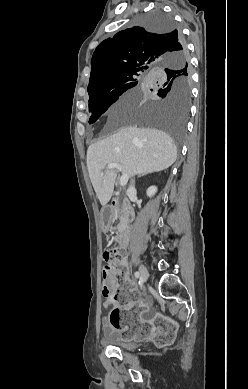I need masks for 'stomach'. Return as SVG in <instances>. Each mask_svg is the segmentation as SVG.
I'll list each match as a JSON object with an SVG mask.
<instances>
[{
    "label": "stomach",
    "instance_id": "stomach-1",
    "mask_svg": "<svg viewBox=\"0 0 248 389\" xmlns=\"http://www.w3.org/2000/svg\"><path fill=\"white\" fill-rule=\"evenodd\" d=\"M101 215H100V218H101V225L104 226L103 227V230L104 231H107L108 230V227L110 225V220H111V213H110V208L109 207H103L101 209Z\"/></svg>",
    "mask_w": 248,
    "mask_h": 389
}]
</instances>
